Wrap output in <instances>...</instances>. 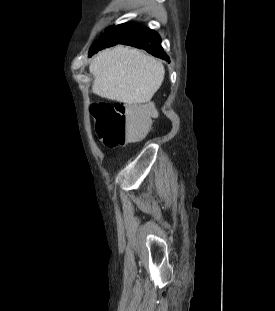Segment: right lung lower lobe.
Listing matches in <instances>:
<instances>
[{"instance_id": "1", "label": "right lung lower lobe", "mask_w": 275, "mask_h": 311, "mask_svg": "<svg viewBox=\"0 0 275 311\" xmlns=\"http://www.w3.org/2000/svg\"><path fill=\"white\" fill-rule=\"evenodd\" d=\"M120 44L130 45L146 50L153 56L170 62L169 57L161 47V38L158 33L145 27H138L133 34L127 37Z\"/></svg>"}]
</instances>
